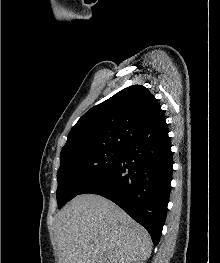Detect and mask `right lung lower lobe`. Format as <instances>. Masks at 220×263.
Returning <instances> with one entry per match:
<instances>
[{"label": "right lung lower lobe", "instance_id": "right-lung-lower-lobe-1", "mask_svg": "<svg viewBox=\"0 0 220 263\" xmlns=\"http://www.w3.org/2000/svg\"><path fill=\"white\" fill-rule=\"evenodd\" d=\"M168 132L140 138L124 148L121 159L79 194H98L116 203L159 243L172 180Z\"/></svg>", "mask_w": 220, "mask_h": 263}]
</instances>
